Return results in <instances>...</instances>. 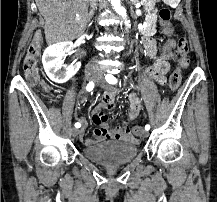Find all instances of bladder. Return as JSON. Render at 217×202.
I'll use <instances>...</instances> for the list:
<instances>
[{
	"label": "bladder",
	"mask_w": 217,
	"mask_h": 202,
	"mask_svg": "<svg viewBox=\"0 0 217 202\" xmlns=\"http://www.w3.org/2000/svg\"><path fill=\"white\" fill-rule=\"evenodd\" d=\"M86 158L93 159L99 164L114 166L124 164L138 155L136 143L104 142L84 147Z\"/></svg>",
	"instance_id": "1"
}]
</instances>
